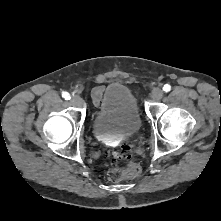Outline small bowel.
Wrapping results in <instances>:
<instances>
[{"instance_id": "obj_1", "label": "small bowel", "mask_w": 221, "mask_h": 221, "mask_svg": "<svg viewBox=\"0 0 221 221\" xmlns=\"http://www.w3.org/2000/svg\"><path fill=\"white\" fill-rule=\"evenodd\" d=\"M103 92H104L103 86H97L92 90V100L95 105L99 104Z\"/></svg>"}]
</instances>
